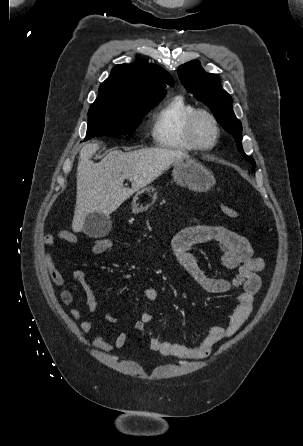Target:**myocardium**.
<instances>
[{
	"instance_id": "1",
	"label": "myocardium",
	"mask_w": 303,
	"mask_h": 446,
	"mask_svg": "<svg viewBox=\"0 0 303 446\" xmlns=\"http://www.w3.org/2000/svg\"><path fill=\"white\" fill-rule=\"evenodd\" d=\"M199 116L207 117L211 121V123L214 127L215 137H214L213 142L210 145H202L201 143H199V141L197 140V138L195 136L194 127H195V122ZM185 136H186L188 142L194 147V149L208 151V150L213 149L218 144V142L220 140V136H221L220 125H219L216 117L210 111L203 109V108H197V109H194L187 117V120L185 123Z\"/></svg>"
}]
</instances>
